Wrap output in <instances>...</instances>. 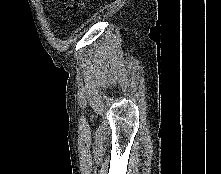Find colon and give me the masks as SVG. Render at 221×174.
<instances>
[{
    "mask_svg": "<svg viewBox=\"0 0 221 174\" xmlns=\"http://www.w3.org/2000/svg\"><path fill=\"white\" fill-rule=\"evenodd\" d=\"M81 0L76 1V0H63V4L66 8V10L70 11L73 8H77L81 5Z\"/></svg>",
    "mask_w": 221,
    "mask_h": 174,
    "instance_id": "5ec220e1",
    "label": "colon"
}]
</instances>
